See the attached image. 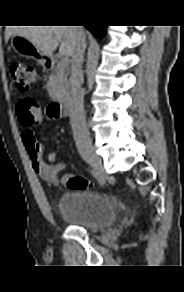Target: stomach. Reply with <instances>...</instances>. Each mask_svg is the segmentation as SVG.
<instances>
[{
	"label": "stomach",
	"mask_w": 184,
	"mask_h": 292,
	"mask_svg": "<svg viewBox=\"0 0 184 292\" xmlns=\"http://www.w3.org/2000/svg\"><path fill=\"white\" fill-rule=\"evenodd\" d=\"M11 48L19 55L32 58L36 60L41 65H45L48 61V56L40 49H38L33 43L28 39L13 35L11 37Z\"/></svg>",
	"instance_id": "0dacf381"
}]
</instances>
